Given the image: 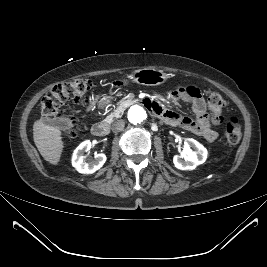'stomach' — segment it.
<instances>
[{"instance_id": "obj_1", "label": "stomach", "mask_w": 267, "mask_h": 267, "mask_svg": "<svg viewBox=\"0 0 267 267\" xmlns=\"http://www.w3.org/2000/svg\"><path fill=\"white\" fill-rule=\"evenodd\" d=\"M169 74L161 71V70H155V69H138L132 72L130 78L132 79L133 82L137 84H142V85H160L164 83L168 78ZM109 100L108 96H104L100 104L103 105L107 103Z\"/></svg>"}]
</instances>
